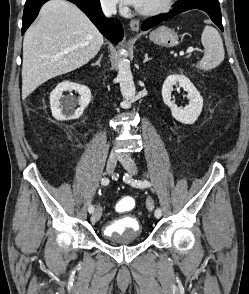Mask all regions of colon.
Listing matches in <instances>:
<instances>
[{
	"instance_id": "colon-1",
	"label": "colon",
	"mask_w": 249,
	"mask_h": 294,
	"mask_svg": "<svg viewBox=\"0 0 249 294\" xmlns=\"http://www.w3.org/2000/svg\"><path fill=\"white\" fill-rule=\"evenodd\" d=\"M135 207V200L131 197L121 198L116 204V210L118 212H128Z\"/></svg>"
}]
</instances>
